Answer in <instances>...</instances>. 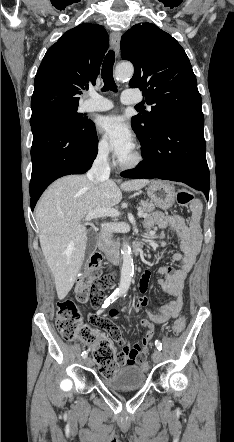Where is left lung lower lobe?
I'll use <instances>...</instances> for the list:
<instances>
[{"label":"left lung lower lobe","instance_id":"1","mask_svg":"<svg viewBox=\"0 0 234 442\" xmlns=\"http://www.w3.org/2000/svg\"><path fill=\"white\" fill-rule=\"evenodd\" d=\"M202 111L178 114L157 127L144 160L121 174L126 178H159L183 182L209 197V169Z\"/></svg>","mask_w":234,"mask_h":442}]
</instances>
